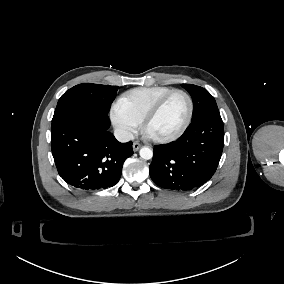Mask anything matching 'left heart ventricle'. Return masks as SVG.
<instances>
[{
  "label": "left heart ventricle",
  "mask_w": 284,
  "mask_h": 284,
  "mask_svg": "<svg viewBox=\"0 0 284 284\" xmlns=\"http://www.w3.org/2000/svg\"><path fill=\"white\" fill-rule=\"evenodd\" d=\"M189 103L182 93H176L166 102L162 110L152 119L147 132L152 137L164 138L176 133L185 122Z\"/></svg>",
  "instance_id": "1"
}]
</instances>
